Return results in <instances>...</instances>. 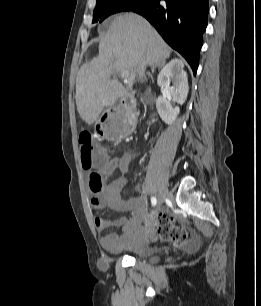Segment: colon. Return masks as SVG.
Instances as JSON below:
<instances>
[{"mask_svg":"<svg viewBox=\"0 0 261 306\" xmlns=\"http://www.w3.org/2000/svg\"><path fill=\"white\" fill-rule=\"evenodd\" d=\"M136 111L132 108L124 109L121 115H117L110 125L102 123L98 132H82L79 136V152L81 164L84 170L91 171L97 162L106 157L104 150H95L93 139L98 135L114 134L121 136L128 125L132 124ZM103 180L100 173L92 171L90 174V188L94 197L102 190ZM154 224L157 234L164 242H169L176 247H182L187 241L185 229L175 226L170 217L159 213L154 215ZM183 229V230H181Z\"/></svg>","mask_w":261,"mask_h":306,"instance_id":"obj_1","label":"colon"}]
</instances>
